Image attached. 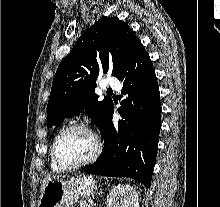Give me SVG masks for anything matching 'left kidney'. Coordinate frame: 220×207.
Segmentation results:
<instances>
[{"mask_svg":"<svg viewBox=\"0 0 220 207\" xmlns=\"http://www.w3.org/2000/svg\"><path fill=\"white\" fill-rule=\"evenodd\" d=\"M107 207H139L138 194L130 185L114 186L107 197Z\"/></svg>","mask_w":220,"mask_h":207,"instance_id":"5707ae66","label":"left kidney"}]
</instances>
